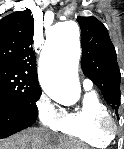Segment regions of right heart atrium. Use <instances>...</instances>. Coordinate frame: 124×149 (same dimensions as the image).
Listing matches in <instances>:
<instances>
[{
	"label": "right heart atrium",
	"mask_w": 124,
	"mask_h": 149,
	"mask_svg": "<svg viewBox=\"0 0 124 149\" xmlns=\"http://www.w3.org/2000/svg\"><path fill=\"white\" fill-rule=\"evenodd\" d=\"M36 112L41 124L51 130L57 129L64 116V110L45 94L38 99Z\"/></svg>",
	"instance_id": "1"
}]
</instances>
